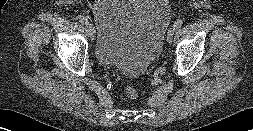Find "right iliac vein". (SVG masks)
I'll return each mask as SVG.
<instances>
[{
  "label": "right iliac vein",
  "mask_w": 253,
  "mask_h": 131,
  "mask_svg": "<svg viewBox=\"0 0 253 131\" xmlns=\"http://www.w3.org/2000/svg\"><path fill=\"white\" fill-rule=\"evenodd\" d=\"M87 29L90 33V36H91L92 40H94V37H95V27H94V25L92 23H88L87 24Z\"/></svg>",
  "instance_id": "63e3f726"
}]
</instances>
